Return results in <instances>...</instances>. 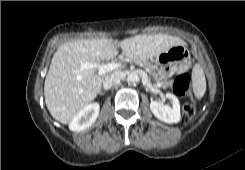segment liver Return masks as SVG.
<instances>
[{"label":"liver","mask_w":245,"mask_h":170,"mask_svg":"<svg viewBox=\"0 0 245 170\" xmlns=\"http://www.w3.org/2000/svg\"><path fill=\"white\" fill-rule=\"evenodd\" d=\"M179 37L166 34L136 35L117 41L108 38L81 39L59 46L52 57L44 84V97L52 117L68 124L99 94L106 76L96 69H82L81 63L108 61L118 54V48L128 59L153 58L176 45H185ZM120 72L114 71L113 73Z\"/></svg>","instance_id":"6515ba94"}]
</instances>
